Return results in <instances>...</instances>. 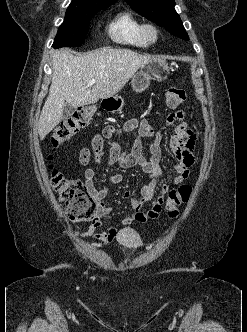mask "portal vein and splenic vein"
Returning a JSON list of instances; mask_svg holds the SVG:
<instances>
[{"label":"portal vein and splenic vein","mask_w":247,"mask_h":332,"mask_svg":"<svg viewBox=\"0 0 247 332\" xmlns=\"http://www.w3.org/2000/svg\"><path fill=\"white\" fill-rule=\"evenodd\" d=\"M95 82H96V80L95 79H92V80H90L89 82H88V86H92V85H94L95 84Z\"/></svg>","instance_id":"obj_1"}]
</instances>
